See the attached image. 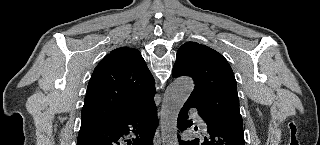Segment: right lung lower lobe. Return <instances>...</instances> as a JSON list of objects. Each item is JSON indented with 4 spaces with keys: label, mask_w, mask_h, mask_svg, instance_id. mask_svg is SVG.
Segmentation results:
<instances>
[{
    "label": "right lung lower lobe",
    "mask_w": 320,
    "mask_h": 145,
    "mask_svg": "<svg viewBox=\"0 0 320 145\" xmlns=\"http://www.w3.org/2000/svg\"><path fill=\"white\" fill-rule=\"evenodd\" d=\"M157 125V110L153 100L127 118L81 126L77 145H153ZM130 133H134L136 138L124 139Z\"/></svg>",
    "instance_id": "98d812e1"
}]
</instances>
